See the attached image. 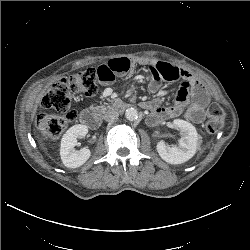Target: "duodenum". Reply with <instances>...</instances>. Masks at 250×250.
I'll return each instance as SVG.
<instances>
[{"mask_svg":"<svg viewBox=\"0 0 250 250\" xmlns=\"http://www.w3.org/2000/svg\"><path fill=\"white\" fill-rule=\"evenodd\" d=\"M130 105L124 102H114L110 108L116 112L124 113ZM101 111L99 109H86L81 113V121L90 129H97L100 125Z\"/></svg>","mask_w":250,"mask_h":250,"instance_id":"410a0bca","label":"duodenum"}]
</instances>
